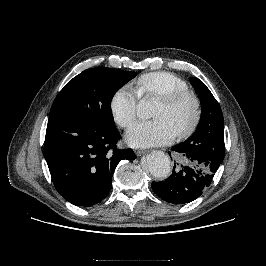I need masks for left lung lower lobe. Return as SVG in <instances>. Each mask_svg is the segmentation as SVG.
Instances as JSON below:
<instances>
[{"label":"left lung lower lobe","instance_id":"1","mask_svg":"<svg viewBox=\"0 0 266 266\" xmlns=\"http://www.w3.org/2000/svg\"><path fill=\"white\" fill-rule=\"evenodd\" d=\"M181 153L185 162L164 181L152 182V190L164 201L185 204L198 198L207 188L221 163L196 153L187 152L179 144L172 148ZM170 153V152H169ZM178 165V164H177Z\"/></svg>","mask_w":266,"mask_h":266}]
</instances>
